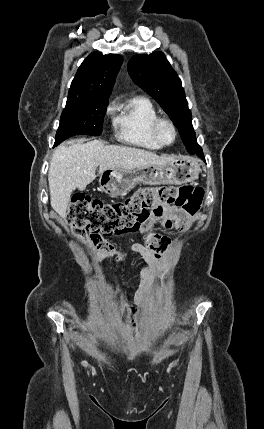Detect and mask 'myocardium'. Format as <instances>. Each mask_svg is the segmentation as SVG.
<instances>
[{
    "label": "myocardium",
    "instance_id": "obj_1",
    "mask_svg": "<svg viewBox=\"0 0 264 429\" xmlns=\"http://www.w3.org/2000/svg\"><path fill=\"white\" fill-rule=\"evenodd\" d=\"M163 125H168L173 132V139L170 142H166L161 136V128ZM152 134L159 144L162 146H169L172 145L177 138V128L171 119L166 117H158L152 125Z\"/></svg>",
    "mask_w": 264,
    "mask_h": 429
}]
</instances>
